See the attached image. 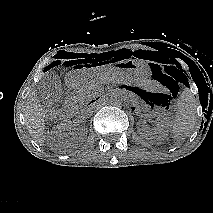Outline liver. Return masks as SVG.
Returning <instances> with one entry per match:
<instances>
[{"mask_svg": "<svg viewBox=\"0 0 213 213\" xmlns=\"http://www.w3.org/2000/svg\"><path fill=\"white\" fill-rule=\"evenodd\" d=\"M113 70V68L99 69V74L112 72ZM24 117L30 136L39 145H43L45 140V111L38 103L35 91H32L27 98Z\"/></svg>", "mask_w": 213, "mask_h": 213, "instance_id": "liver-1", "label": "liver"}]
</instances>
